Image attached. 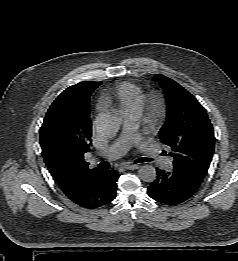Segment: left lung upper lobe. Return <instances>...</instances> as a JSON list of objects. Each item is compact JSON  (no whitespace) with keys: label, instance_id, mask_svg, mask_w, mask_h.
I'll use <instances>...</instances> for the list:
<instances>
[{"label":"left lung upper lobe","instance_id":"1","mask_svg":"<svg viewBox=\"0 0 238 261\" xmlns=\"http://www.w3.org/2000/svg\"><path fill=\"white\" fill-rule=\"evenodd\" d=\"M167 101V119L160 140L169 146L174 169L202 181L209 168L215 145L212 124L204 107L174 80L157 75Z\"/></svg>","mask_w":238,"mask_h":261}]
</instances>
